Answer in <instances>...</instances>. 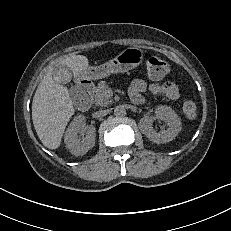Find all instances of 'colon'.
I'll return each mask as SVG.
<instances>
[{
	"label": "colon",
	"instance_id": "obj_1",
	"mask_svg": "<svg viewBox=\"0 0 231 231\" xmlns=\"http://www.w3.org/2000/svg\"><path fill=\"white\" fill-rule=\"evenodd\" d=\"M147 75L152 80H160L169 73V65L166 61L150 57L145 63ZM182 111L188 118H194L197 114V104L191 99H184Z\"/></svg>",
	"mask_w": 231,
	"mask_h": 231
}]
</instances>
